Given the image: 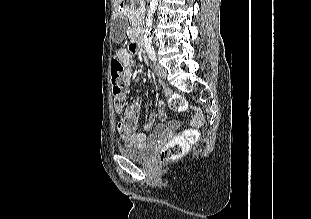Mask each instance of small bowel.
Returning a JSON list of instances; mask_svg holds the SVG:
<instances>
[{
  "label": "small bowel",
  "instance_id": "small-bowel-1",
  "mask_svg": "<svg viewBox=\"0 0 311 219\" xmlns=\"http://www.w3.org/2000/svg\"><path fill=\"white\" fill-rule=\"evenodd\" d=\"M116 59L120 60L127 66L124 73V81L126 85H130L132 83L133 73L131 68L128 66L130 61L129 52L126 49L118 50L116 53ZM142 106H143V99L137 98L133 103H131L126 108L124 117L118 123L119 135L127 145L131 146L142 145L147 137L146 132H150L154 128H156L155 136L158 138L169 135L173 128L172 125L163 123L155 126L157 115L155 113H150L147 117L146 122L143 125L144 132H136L135 130L138 126ZM195 112H198V109H195ZM159 116L162 120L166 118V112L162 105L159 108ZM191 124L197 125L198 120L196 118L192 119Z\"/></svg>",
  "mask_w": 311,
  "mask_h": 219
}]
</instances>
